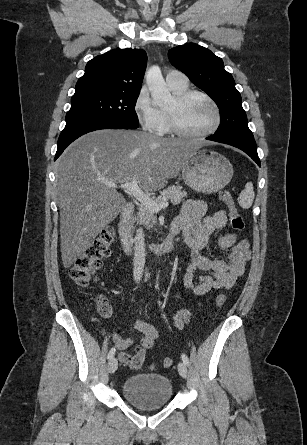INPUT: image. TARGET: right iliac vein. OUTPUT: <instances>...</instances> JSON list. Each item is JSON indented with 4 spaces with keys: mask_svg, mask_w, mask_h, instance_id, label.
Here are the masks:
<instances>
[{
    "mask_svg": "<svg viewBox=\"0 0 307 445\" xmlns=\"http://www.w3.org/2000/svg\"><path fill=\"white\" fill-rule=\"evenodd\" d=\"M118 368V361L116 358H112L108 365V371L110 374H113Z\"/></svg>",
    "mask_w": 307,
    "mask_h": 445,
    "instance_id": "right-iliac-vein-1",
    "label": "right iliac vein"
}]
</instances>
